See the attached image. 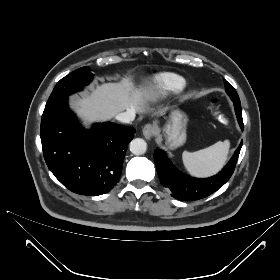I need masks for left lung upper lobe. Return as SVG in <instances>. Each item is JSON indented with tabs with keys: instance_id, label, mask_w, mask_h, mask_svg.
I'll list each match as a JSON object with an SVG mask.
<instances>
[{
	"instance_id": "5c2ea615",
	"label": "left lung upper lobe",
	"mask_w": 280,
	"mask_h": 280,
	"mask_svg": "<svg viewBox=\"0 0 280 280\" xmlns=\"http://www.w3.org/2000/svg\"><path fill=\"white\" fill-rule=\"evenodd\" d=\"M225 87H226V92L232 99V101L240 102L239 96L236 92V90L226 81L224 80Z\"/></svg>"
}]
</instances>
